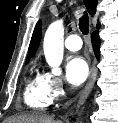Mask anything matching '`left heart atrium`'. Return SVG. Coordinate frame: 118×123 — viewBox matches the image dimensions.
Instances as JSON below:
<instances>
[{
    "instance_id": "39dd6f15",
    "label": "left heart atrium",
    "mask_w": 118,
    "mask_h": 123,
    "mask_svg": "<svg viewBox=\"0 0 118 123\" xmlns=\"http://www.w3.org/2000/svg\"><path fill=\"white\" fill-rule=\"evenodd\" d=\"M66 79L73 86L81 85L89 75L87 62L80 56L71 57L65 66Z\"/></svg>"
}]
</instances>
